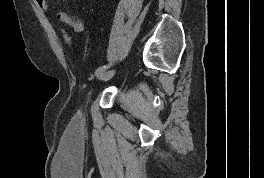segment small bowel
Wrapping results in <instances>:
<instances>
[{"mask_svg": "<svg viewBox=\"0 0 264 178\" xmlns=\"http://www.w3.org/2000/svg\"><path fill=\"white\" fill-rule=\"evenodd\" d=\"M35 2L39 6V8L44 11H48L50 9L49 0H35ZM56 19L62 24L69 26L75 33H80L84 29L83 21L80 18L72 16L67 12H57Z\"/></svg>", "mask_w": 264, "mask_h": 178, "instance_id": "small-bowel-1", "label": "small bowel"}]
</instances>
